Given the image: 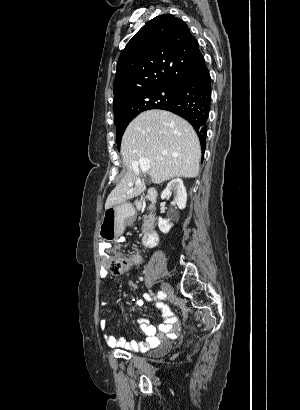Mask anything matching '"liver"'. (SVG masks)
Listing matches in <instances>:
<instances>
[{"label": "liver", "mask_w": 300, "mask_h": 410, "mask_svg": "<svg viewBox=\"0 0 300 410\" xmlns=\"http://www.w3.org/2000/svg\"><path fill=\"white\" fill-rule=\"evenodd\" d=\"M125 176L111 191L105 209L140 195L145 183L132 164L150 160L149 174L155 184L174 177L194 178L199 171L201 147L193 127L183 118L164 110L138 115L127 127L121 142Z\"/></svg>", "instance_id": "1"}]
</instances>
